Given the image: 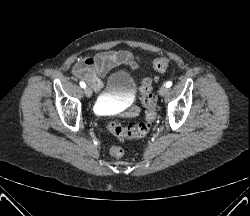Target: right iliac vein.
<instances>
[{
	"mask_svg": "<svg viewBox=\"0 0 250 216\" xmlns=\"http://www.w3.org/2000/svg\"><path fill=\"white\" fill-rule=\"evenodd\" d=\"M84 93H85V95H86L88 98H90V97L92 96V90H91V88H90V87H85Z\"/></svg>",
	"mask_w": 250,
	"mask_h": 216,
	"instance_id": "63e3f726",
	"label": "right iliac vein"
}]
</instances>
